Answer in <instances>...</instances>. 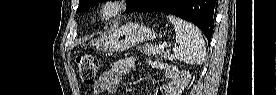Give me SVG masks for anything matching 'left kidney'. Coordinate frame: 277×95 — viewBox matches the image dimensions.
I'll return each instance as SVG.
<instances>
[{
    "label": "left kidney",
    "mask_w": 277,
    "mask_h": 95,
    "mask_svg": "<svg viewBox=\"0 0 277 95\" xmlns=\"http://www.w3.org/2000/svg\"><path fill=\"white\" fill-rule=\"evenodd\" d=\"M185 75L186 73H176L174 76L173 81L171 82V84L168 87L167 92L168 93H173L176 92L182 88V86L184 85V80H185Z\"/></svg>",
    "instance_id": "5707ae66"
}]
</instances>
